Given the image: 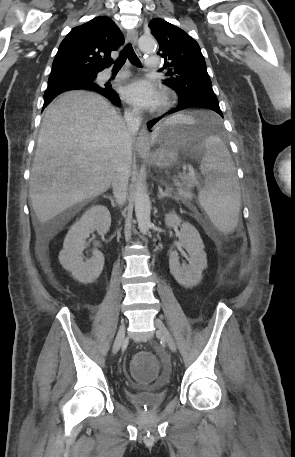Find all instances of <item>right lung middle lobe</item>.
I'll list each match as a JSON object with an SVG mask.
<instances>
[{
  "label": "right lung middle lobe",
  "mask_w": 295,
  "mask_h": 457,
  "mask_svg": "<svg viewBox=\"0 0 295 457\" xmlns=\"http://www.w3.org/2000/svg\"><path fill=\"white\" fill-rule=\"evenodd\" d=\"M95 79H96V76H90V77L79 78L76 81H80V82L85 83V84H92V83L95 84ZM64 91L65 90L46 89V91L44 93V98H50V97H53V96H57V95H59L60 93H62Z\"/></svg>",
  "instance_id": "dd1d6c3e"
}]
</instances>
